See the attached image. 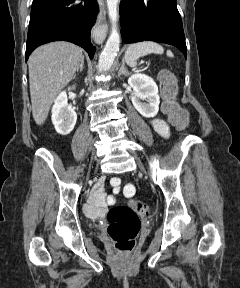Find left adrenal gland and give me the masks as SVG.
I'll use <instances>...</instances> for the list:
<instances>
[{
  "instance_id": "left-adrenal-gland-1",
  "label": "left adrenal gland",
  "mask_w": 240,
  "mask_h": 288,
  "mask_svg": "<svg viewBox=\"0 0 240 288\" xmlns=\"http://www.w3.org/2000/svg\"><path fill=\"white\" fill-rule=\"evenodd\" d=\"M121 75H125V76L129 75V71L125 67V60L124 59H122V64H121L120 70L118 72V77H120Z\"/></svg>"
}]
</instances>
